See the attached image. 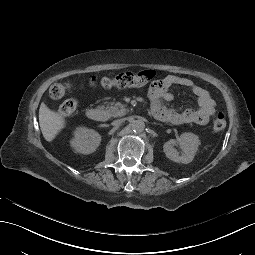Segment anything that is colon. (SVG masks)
Returning <instances> with one entry per match:
<instances>
[{
	"label": "colon",
	"mask_w": 255,
	"mask_h": 255,
	"mask_svg": "<svg viewBox=\"0 0 255 255\" xmlns=\"http://www.w3.org/2000/svg\"><path fill=\"white\" fill-rule=\"evenodd\" d=\"M155 73L152 70H143L139 72H123L118 74L113 78L103 77L96 78L93 77L89 85L96 86L100 85L104 88H130V87H143L153 80ZM73 89L71 83H55L49 89L50 97L53 99L63 98L69 91ZM78 107V103L75 99L69 98L65 100L59 106V113L62 116H69L73 114ZM227 121L226 117L222 112L217 113L213 121V130L215 132L223 131L226 128Z\"/></svg>",
	"instance_id": "colon-1"
}]
</instances>
